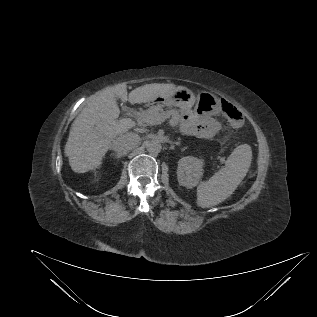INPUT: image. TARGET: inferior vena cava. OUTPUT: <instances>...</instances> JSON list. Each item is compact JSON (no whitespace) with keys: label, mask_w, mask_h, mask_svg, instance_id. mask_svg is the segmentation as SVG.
<instances>
[{"label":"inferior vena cava","mask_w":317,"mask_h":317,"mask_svg":"<svg viewBox=\"0 0 317 317\" xmlns=\"http://www.w3.org/2000/svg\"><path fill=\"white\" fill-rule=\"evenodd\" d=\"M140 139L135 133L128 132L116 138L112 142V149L116 151L119 155H126L129 151L135 148Z\"/></svg>","instance_id":"1"}]
</instances>
